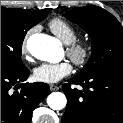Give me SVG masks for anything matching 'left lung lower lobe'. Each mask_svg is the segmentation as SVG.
Returning <instances> with one entry per match:
<instances>
[{"label": "left lung lower lobe", "mask_w": 123, "mask_h": 123, "mask_svg": "<svg viewBox=\"0 0 123 123\" xmlns=\"http://www.w3.org/2000/svg\"><path fill=\"white\" fill-rule=\"evenodd\" d=\"M63 84L67 97L62 123H123V66L75 76ZM79 84L83 90L72 89Z\"/></svg>", "instance_id": "left-lung-lower-lobe-1"}]
</instances>
